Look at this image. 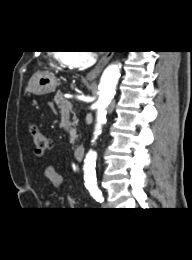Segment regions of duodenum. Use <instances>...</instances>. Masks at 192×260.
Returning a JSON list of instances; mask_svg holds the SVG:
<instances>
[{
  "mask_svg": "<svg viewBox=\"0 0 192 260\" xmlns=\"http://www.w3.org/2000/svg\"><path fill=\"white\" fill-rule=\"evenodd\" d=\"M74 158L78 161L82 160L85 154V147L83 145H79L74 149Z\"/></svg>",
  "mask_w": 192,
  "mask_h": 260,
  "instance_id": "1",
  "label": "duodenum"
}]
</instances>
